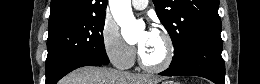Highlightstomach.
<instances>
[{"mask_svg": "<svg viewBox=\"0 0 260 84\" xmlns=\"http://www.w3.org/2000/svg\"><path fill=\"white\" fill-rule=\"evenodd\" d=\"M162 84H177V83H175L173 81H164V82H162Z\"/></svg>", "mask_w": 260, "mask_h": 84, "instance_id": "1", "label": "stomach"}]
</instances>
